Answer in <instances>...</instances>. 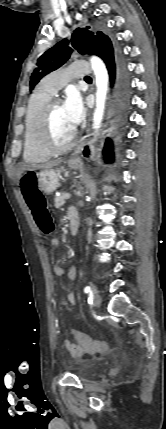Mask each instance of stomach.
<instances>
[{
  "label": "stomach",
  "mask_w": 166,
  "mask_h": 429,
  "mask_svg": "<svg viewBox=\"0 0 166 429\" xmlns=\"http://www.w3.org/2000/svg\"><path fill=\"white\" fill-rule=\"evenodd\" d=\"M68 165L71 169H77L80 166L79 161L69 160ZM38 185L41 191L47 195L52 194L60 185V170L46 169L35 173Z\"/></svg>",
  "instance_id": "0dacf381"
}]
</instances>
